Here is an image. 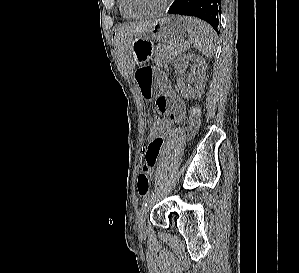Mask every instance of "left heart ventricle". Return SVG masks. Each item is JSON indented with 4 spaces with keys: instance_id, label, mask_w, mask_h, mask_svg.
I'll return each instance as SVG.
<instances>
[{
    "instance_id": "left-heart-ventricle-1",
    "label": "left heart ventricle",
    "mask_w": 299,
    "mask_h": 273,
    "mask_svg": "<svg viewBox=\"0 0 299 273\" xmlns=\"http://www.w3.org/2000/svg\"><path fill=\"white\" fill-rule=\"evenodd\" d=\"M164 0H128L129 6L138 12L151 11L159 7Z\"/></svg>"
}]
</instances>
